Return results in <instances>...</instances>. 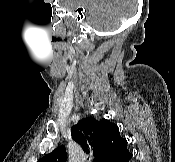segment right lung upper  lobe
Instances as JSON below:
<instances>
[{
	"mask_svg": "<svg viewBox=\"0 0 175 162\" xmlns=\"http://www.w3.org/2000/svg\"><path fill=\"white\" fill-rule=\"evenodd\" d=\"M71 134L84 152L93 153L95 157L93 162H111L127 146L126 139L120 136L118 126L106 119L84 118L72 126ZM66 160V149L61 145L38 162H66Z\"/></svg>",
	"mask_w": 175,
	"mask_h": 162,
	"instance_id": "obj_1",
	"label": "right lung upper lobe"
}]
</instances>
